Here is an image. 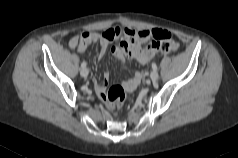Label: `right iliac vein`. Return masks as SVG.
Instances as JSON below:
<instances>
[{
	"label": "right iliac vein",
	"instance_id": "1",
	"mask_svg": "<svg viewBox=\"0 0 238 158\" xmlns=\"http://www.w3.org/2000/svg\"><path fill=\"white\" fill-rule=\"evenodd\" d=\"M80 74L82 77L86 78L89 74V71L87 68H82L81 71H80Z\"/></svg>",
	"mask_w": 238,
	"mask_h": 158
}]
</instances>
